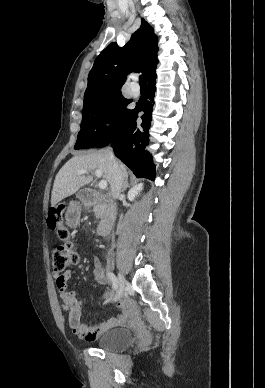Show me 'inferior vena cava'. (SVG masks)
<instances>
[{
    "label": "inferior vena cava",
    "mask_w": 265,
    "mask_h": 388,
    "mask_svg": "<svg viewBox=\"0 0 265 388\" xmlns=\"http://www.w3.org/2000/svg\"><path fill=\"white\" fill-rule=\"evenodd\" d=\"M108 154L110 156V160L112 164V178H113L112 184H111L112 196L113 198H120L121 190H122V186L124 184L125 178L114 158V154L112 150H109Z\"/></svg>",
    "instance_id": "inferior-vena-cava-1"
}]
</instances>
